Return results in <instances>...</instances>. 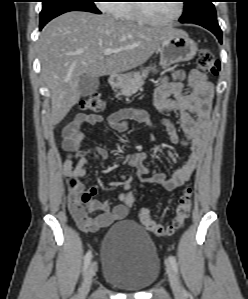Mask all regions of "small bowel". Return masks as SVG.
<instances>
[{"mask_svg": "<svg viewBox=\"0 0 248 299\" xmlns=\"http://www.w3.org/2000/svg\"><path fill=\"white\" fill-rule=\"evenodd\" d=\"M186 86L190 87L191 92H186ZM212 95L213 84L205 74L198 70L189 72L177 71L171 78H165L161 81L154 93L155 106L161 112L178 113L180 115L181 128L185 133V139L182 141H180L179 134L172 123L164 120L163 125L171 142H181L182 145L190 147L191 153L188 160L171 177L167 178L162 173H151L150 169L145 165L148 157L145 152L133 153L128 160L133 173L128 177L121 178L119 183L122 185L124 192L119 194L120 204L115 206L112 211H110L107 202H101L94 198L97 193L95 187L84 186L83 193L87 197L89 211H100V213L94 217L89 216L88 213L83 218L73 216L76 224L82 231L93 233L110 226L116 220L124 219L128 213V207L124 203L127 197L125 192L130 190L132 182L136 178H141L147 184L161 185L168 191L175 190L192 178L194 171L200 166L204 156V146L210 129ZM132 120L146 123L152 131L155 129V126L150 123L144 114H134L126 110H120L110 115L106 123L111 129L124 132ZM102 122L103 118L99 115L79 114L63 130L64 139L62 146L66 150L76 149L75 156L77 158V165L73 170L69 169L72 165L73 155L68 154L65 160L68 185L73 180L80 181V179L84 178L89 156H106V151L102 148L78 149L80 143L87 137V134L82 129L83 126H93ZM148 174L150 175L148 176Z\"/></svg>", "mask_w": 248, "mask_h": 299, "instance_id": "1", "label": "small bowel"}]
</instances>
